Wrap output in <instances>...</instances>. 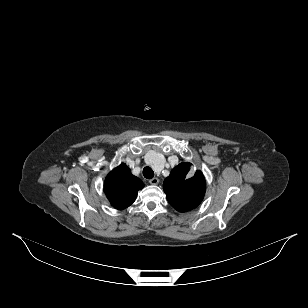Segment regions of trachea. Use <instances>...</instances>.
<instances>
[{
    "mask_svg": "<svg viewBox=\"0 0 308 308\" xmlns=\"http://www.w3.org/2000/svg\"><path fill=\"white\" fill-rule=\"evenodd\" d=\"M143 175L146 179H152L154 177V172L150 167H145L143 169Z\"/></svg>",
    "mask_w": 308,
    "mask_h": 308,
    "instance_id": "obj_1",
    "label": "trachea"
}]
</instances>
